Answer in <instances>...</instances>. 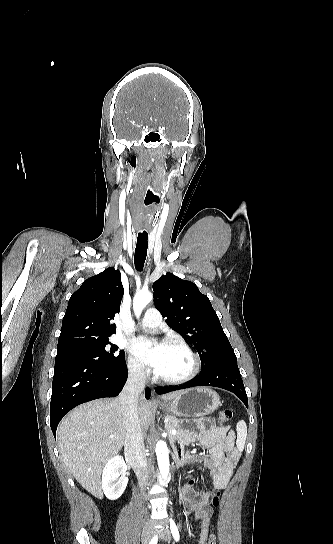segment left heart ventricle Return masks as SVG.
<instances>
[{"label": "left heart ventricle", "instance_id": "obj_1", "mask_svg": "<svg viewBox=\"0 0 333 544\" xmlns=\"http://www.w3.org/2000/svg\"><path fill=\"white\" fill-rule=\"evenodd\" d=\"M192 367V359L183 349L167 345L163 360L156 373L166 378L184 376Z\"/></svg>", "mask_w": 333, "mask_h": 544}]
</instances>
